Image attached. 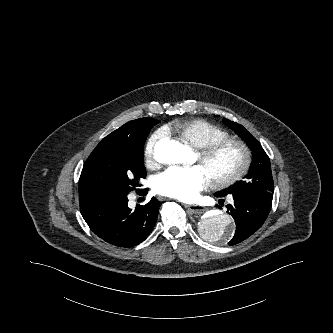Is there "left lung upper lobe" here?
<instances>
[{
	"label": "left lung upper lobe",
	"instance_id": "1",
	"mask_svg": "<svg viewBox=\"0 0 333 333\" xmlns=\"http://www.w3.org/2000/svg\"><path fill=\"white\" fill-rule=\"evenodd\" d=\"M237 134L244 139L253 153V162L249 173L243 180L222 190L228 194H252L266 198H273L274 183L272 178L270 160L260 143L240 124L225 121Z\"/></svg>",
	"mask_w": 333,
	"mask_h": 333
}]
</instances>
